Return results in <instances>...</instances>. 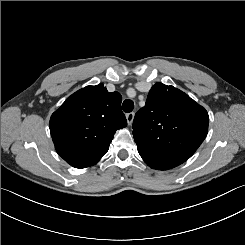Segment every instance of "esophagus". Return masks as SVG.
<instances>
[{
  "instance_id": "obj_1",
  "label": "esophagus",
  "mask_w": 245,
  "mask_h": 245,
  "mask_svg": "<svg viewBox=\"0 0 245 245\" xmlns=\"http://www.w3.org/2000/svg\"><path fill=\"white\" fill-rule=\"evenodd\" d=\"M126 118H127L128 125H131L133 123V119H134V112L127 113Z\"/></svg>"
}]
</instances>
